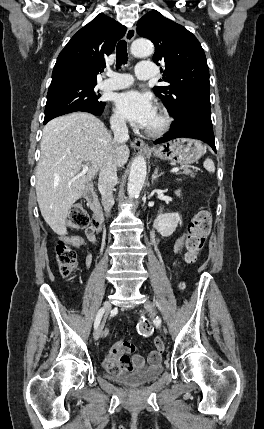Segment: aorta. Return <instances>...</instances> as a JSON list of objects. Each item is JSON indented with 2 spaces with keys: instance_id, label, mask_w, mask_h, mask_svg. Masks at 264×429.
Masks as SVG:
<instances>
[{
  "instance_id": "1",
  "label": "aorta",
  "mask_w": 264,
  "mask_h": 429,
  "mask_svg": "<svg viewBox=\"0 0 264 429\" xmlns=\"http://www.w3.org/2000/svg\"><path fill=\"white\" fill-rule=\"evenodd\" d=\"M131 52L135 57H148L154 52L152 43L145 39H137L131 45ZM146 161L138 156L131 164L128 178L127 192L129 198L137 197L146 179Z\"/></svg>"
}]
</instances>
